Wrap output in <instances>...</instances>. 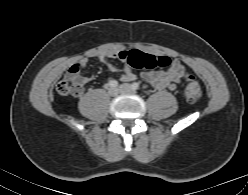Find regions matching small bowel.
I'll return each instance as SVG.
<instances>
[{"label": "small bowel", "mask_w": 248, "mask_h": 195, "mask_svg": "<svg viewBox=\"0 0 248 195\" xmlns=\"http://www.w3.org/2000/svg\"><path fill=\"white\" fill-rule=\"evenodd\" d=\"M125 55V51H120L114 53L111 56L100 55L98 56V58L102 62L108 63L113 70L119 71L121 73L122 80L130 82L136 79V75L131 71V69L127 65H124L120 69H116L112 64L109 63L110 59H118L124 61V59H121L120 57H123ZM90 61L91 58L89 57L82 58L79 62L72 65L67 73H72L74 71H79L81 73V71L86 68ZM187 76L188 72L186 68L178 60H172L171 64L167 69L148 71L143 72L141 74V78L153 87L157 89L169 88L172 90L175 89L180 84V82ZM82 79L83 82L86 83L91 79V77L85 76L82 77Z\"/></svg>", "instance_id": "1"}]
</instances>
